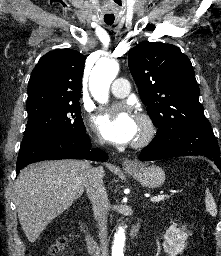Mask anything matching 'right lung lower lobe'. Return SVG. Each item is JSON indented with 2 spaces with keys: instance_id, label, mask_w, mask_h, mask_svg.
<instances>
[{
  "instance_id": "98d812e1",
  "label": "right lung lower lobe",
  "mask_w": 221,
  "mask_h": 256,
  "mask_svg": "<svg viewBox=\"0 0 221 256\" xmlns=\"http://www.w3.org/2000/svg\"><path fill=\"white\" fill-rule=\"evenodd\" d=\"M58 159L105 161L107 154L98 148L91 149V141L86 131H63L40 137L20 147L16 169L19 172L30 163Z\"/></svg>"
}]
</instances>
